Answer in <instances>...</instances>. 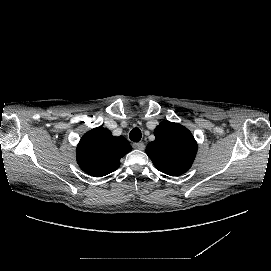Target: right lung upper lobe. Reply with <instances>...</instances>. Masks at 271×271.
I'll return each instance as SVG.
<instances>
[{"label":"right lung upper lobe","mask_w":271,"mask_h":271,"mask_svg":"<svg viewBox=\"0 0 271 271\" xmlns=\"http://www.w3.org/2000/svg\"><path fill=\"white\" fill-rule=\"evenodd\" d=\"M131 150L125 137H114L108 129L98 127L80 140L76 150L77 162L87 174L101 177L118 169L120 159Z\"/></svg>","instance_id":"obj_1"}]
</instances>
